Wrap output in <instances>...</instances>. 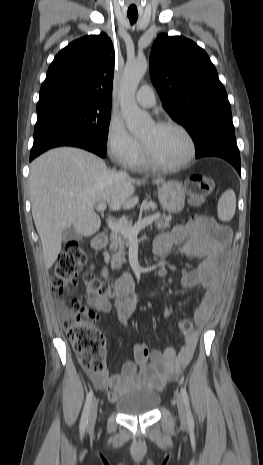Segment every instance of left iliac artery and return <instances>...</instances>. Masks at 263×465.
<instances>
[{
	"label": "left iliac artery",
	"mask_w": 263,
	"mask_h": 465,
	"mask_svg": "<svg viewBox=\"0 0 263 465\" xmlns=\"http://www.w3.org/2000/svg\"><path fill=\"white\" fill-rule=\"evenodd\" d=\"M180 392H181V396L183 398V402H184V405H185V408H186L188 423L190 425H193L194 424V419H193V415H192V412H191V409H190V403H189V397H188L187 391H186L185 388L182 387Z\"/></svg>",
	"instance_id": "1"
}]
</instances>
